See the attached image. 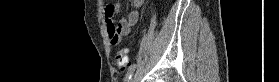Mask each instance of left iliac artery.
<instances>
[{
    "label": "left iliac artery",
    "mask_w": 279,
    "mask_h": 82,
    "mask_svg": "<svg viewBox=\"0 0 279 82\" xmlns=\"http://www.w3.org/2000/svg\"><path fill=\"white\" fill-rule=\"evenodd\" d=\"M135 68H136V65L135 64H132L129 68H128V71H127V74L126 76L124 77V82H129L134 71H135Z\"/></svg>",
    "instance_id": "44dca946"
}]
</instances>
